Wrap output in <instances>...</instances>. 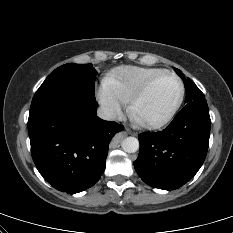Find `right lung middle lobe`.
Instances as JSON below:
<instances>
[{
    "instance_id": "1",
    "label": "right lung middle lobe",
    "mask_w": 233,
    "mask_h": 233,
    "mask_svg": "<svg viewBox=\"0 0 233 233\" xmlns=\"http://www.w3.org/2000/svg\"><path fill=\"white\" fill-rule=\"evenodd\" d=\"M97 71L92 64L68 63L55 69L36 91L31 108L58 99L95 100Z\"/></svg>"
}]
</instances>
